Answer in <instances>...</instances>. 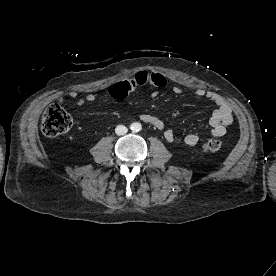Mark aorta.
I'll return each instance as SVG.
<instances>
[{
	"label": "aorta",
	"mask_w": 276,
	"mask_h": 276,
	"mask_svg": "<svg viewBox=\"0 0 276 276\" xmlns=\"http://www.w3.org/2000/svg\"><path fill=\"white\" fill-rule=\"evenodd\" d=\"M141 128H142V126H141V124L138 123V122L133 123V124L131 125V129H132L133 131H140Z\"/></svg>",
	"instance_id": "762f6f07"
}]
</instances>
